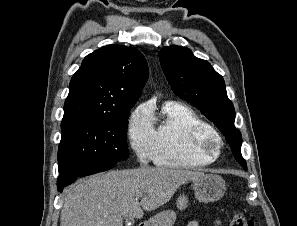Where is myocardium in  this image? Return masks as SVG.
<instances>
[{"label":"myocardium","instance_id":"f54148a6","mask_svg":"<svg viewBox=\"0 0 297 226\" xmlns=\"http://www.w3.org/2000/svg\"><path fill=\"white\" fill-rule=\"evenodd\" d=\"M222 141L217 133H207L197 140V148L200 152L216 155Z\"/></svg>","mask_w":297,"mask_h":226}]
</instances>
